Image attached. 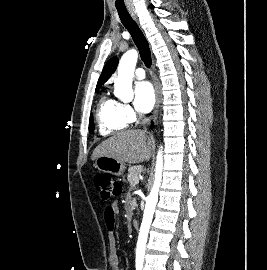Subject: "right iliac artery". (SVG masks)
I'll return each mask as SVG.
<instances>
[{"instance_id":"obj_1","label":"right iliac artery","mask_w":267,"mask_h":270,"mask_svg":"<svg viewBox=\"0 0 267 270\" xmlns=\"http://www.w3.org/2000/svg\"><path fill=\"white\" fill-rule=\"evenodd\" d=\"M136 270H142V267L141 266H137L136 267Z\"/></svg>"}]
</instances>
